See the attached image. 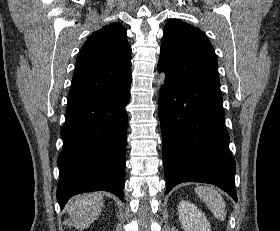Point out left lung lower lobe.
I'll list each match as a JSON object with an SVG mask.
<instances>
[{
  "label": "left lung lower lobe",
  "mask_w": 280,
  "mask_h": 231,
  "mask_svg": "<svg viewBox=\"0 0 280 231\" xmlns=\"http://www.w3.org/2000/svg\"><path fill=\"white\" fill-rule=\"evenodd\" d=\"M220 88L165 79L158 101L166 193L183 182L210 183L236 202Z\"/></svg>",
  "instance_id": "0a47b994"
}]
</instances>
